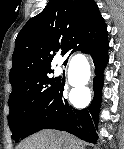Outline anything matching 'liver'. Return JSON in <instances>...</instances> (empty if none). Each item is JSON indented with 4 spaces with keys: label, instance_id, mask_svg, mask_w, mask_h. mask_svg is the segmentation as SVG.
Segmentation results:
<instances>
[{
    "label": "liver",
    "instance_id": "1",
    "mask_svg": "<svg viewBox=\"0 0 124 149\" xmlns=\"http://www.w3.org/2000/svg\"><path fill=\"white\" fill-rule=\"evenodd\" d=\"M80 144L67 133L45 130L26 139L19 149H81Z\"/></svg>",
    "mask_w": 124,
    "mask_h": 149
}]
</instances>
